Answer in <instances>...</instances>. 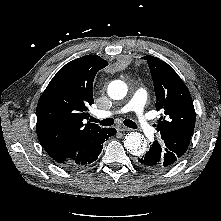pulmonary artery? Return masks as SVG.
Returning <instances> with one entry per match:
<instances>
[{
  "instance_id": "obj_1",
  "label": "pulmonary artery",
  "mask_w": 221,
  "mask_h": 221,
  "mask_svg": "<svg viewBox=\"0 0 221 221\" xmlns=\"http://www.w3.org/2000/svg\"><path fill=\"white\" fill-rule=\"evenodd\" d=\"M147 100V93L144 89H138L130 101L123 106L121 109L117 111H101L99 112V116L106 118L110 117L114 114H121L127 112H134L136 115V121L139 128L145 135H150L153 133L154 129L151 125L150 119L144 111L145 104Z\"/></svg>"
}]
</instances>
